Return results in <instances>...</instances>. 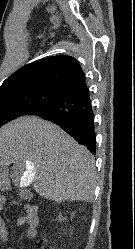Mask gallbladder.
Wrapping results in <instances>:
<instances>
[{
    "label": "gallbladder",
    "mask_w": 135,
    "mask_h": 249,
    "mask_svg": "<svg viewBox=\"0 0 135 249\" xmlns=\"http://www.w3.org/2000/svg\"><path fill=\"white\" fill-rule=\"evenodd\" d=\"M25 164L21 162H15L11 168V178L14 179L18 176L17 184L19 183L20 177L23 175ZM6 183L3 179H0V184Z\"/></svg>",
    "instance_id": "bac80fb5"
}]
</instances>
